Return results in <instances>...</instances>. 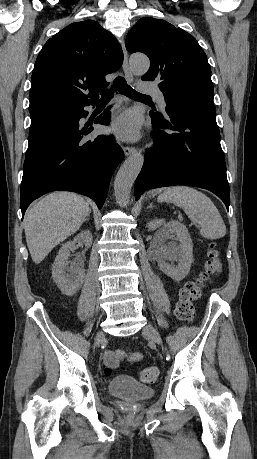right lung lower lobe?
Masks as SVG:
<instances>
[{"label": "right lung lower lobe", "instance_id": "obj_1", "mask_svg": "<svg viewBox=\"0 0 257 459\" xmlns=\"http://www.w3.org/2000/svg\"><path fill=\"white\" fill-rule=\"evenodd\" d=\"M97 100L31 114L20 191L22 216L33 200L50 191L77 192L102 208L111 175L124 154L113 137L89 139L93 128H79V120L88 114L84 107L95 105ZM109 121L106 109L95 123Z\"/></svg>", "mask_w": 257, "mask_h": 459}]
</instances>
